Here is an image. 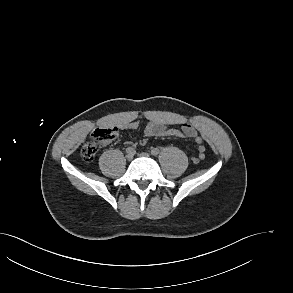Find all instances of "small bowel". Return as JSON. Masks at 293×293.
Masks as SVG:
<instances>
[{"mask_svg": "<svg viewBox=\"0 0 293 293\" xmlns=\"http://www.w3.org/2000/svg\"><path fill=\"white\" fill-rule=\"evenodd\" d=\"M146 118L148 120L144 133L147 137H187L193 138L199 145V151H205V147L202 145L203 139L197 133L196 129L188 123L181 126V129H173L168 127V121L164 117L156 115L154 113H147ZM138 122L133 121L130 123H124L121 127H129L132 129L138 128Z\"/></svg>", "mask_w": 293, "mask_h": 293, "instance_id": "obj_1", "label": "small bowel"}]
</instances>
